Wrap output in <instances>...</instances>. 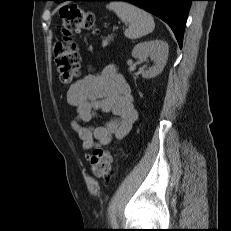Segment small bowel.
<instances>
[{"mask_svg": "<svg viewBox=\"0 0 231 231\" xmlns=\"http://www.w3.org/2000/svg\"><path fill=\"white\" fill-rule=\"evenodd\" d=\"M66 97L76 110L71 126L87 151L102 148L113 139L122 140L138 118L131 88L113 64L77 80ZM99 111L110 112L113 117L101 126L88 125Z\"/></svg>", "mask_w": 231, "mask_h": 231, "instance_id": "c3829d8e", "label": "small bowel"}]
</instances>
